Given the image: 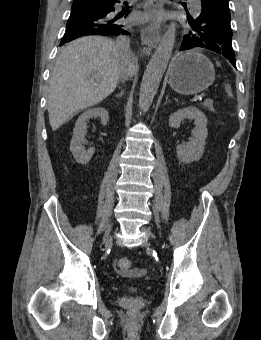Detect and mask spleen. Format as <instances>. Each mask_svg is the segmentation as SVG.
<instances>
[{
	"instance_id": "3e777b00",
	"label": "spleen",
	"mask_w": 261,
	"mask_h": 340,
	"mask_svg": "<svg viewBox=\"0 0 261 340\" xmlns=\"http://www.w3.org/2000/svg\"><path fill=\"white\" fill-rule=\"evenodd\" d=\"M225 91L227 92L229 97H232V92H231V88H230L229 84L225 85Z\"/></svg>"
}]
</instances>
